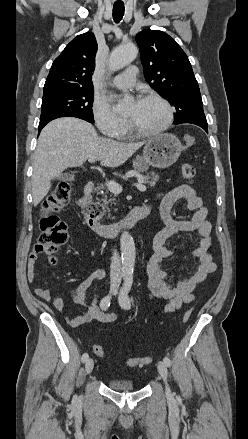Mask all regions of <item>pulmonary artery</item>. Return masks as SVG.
<instances>
[{"mask_svg": "<svg viewBox=\"0 0 248 439\" xmlns=\"http://www.w3.org/2000/svg\"><path fill=\"white\" fill-rule=\"evenodd\" d=\"M137 68L135 66L128 67L125 72L116 75L113 78L112 85L118 89H126L131 87L135 82Z\"/></svg>", "mask_w": 248, "mask_h": 439, "instance_id": "pulmonary-artery-1", "label": "pulmonary artery"}]
</instances>
